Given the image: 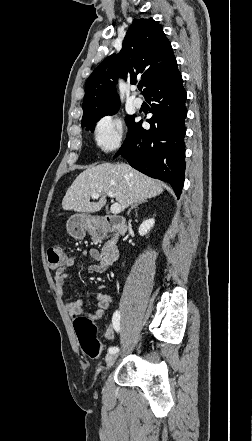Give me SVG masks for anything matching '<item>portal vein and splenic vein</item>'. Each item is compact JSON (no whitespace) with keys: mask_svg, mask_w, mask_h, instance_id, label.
<instances>
[{"mask_svg":"<svg viewBox=\"0 0 252 441\" xmlns=\"http://www.w3.org/2000/svg\"><path fill=\"white\" fill-rule=\"evenodd\" d=\"M99 196H100L99 193H93V194L91 195V198H93V199H97V198H99ZM107 196L113 198V197H114V193H113V192H107ZM110 211H111V213H113V214H118V213H120V211H121V206H120V204H118V203H114V204H112V205H111V208H110Z\"/></svg>","mask_w":252,"mask_h":441,"instance_id":"portal-vein-and-splenic-vein-1","label":"portal vein and splenic vein"}]
</instances>
